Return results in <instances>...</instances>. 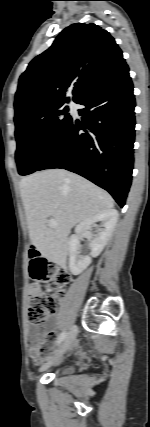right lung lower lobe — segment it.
I'll list each match as a JSON object with an SVG mask.
<instances>
[{"label":"right lung lower lobe","instance_id":"98d812e1","mask_svg":"<svg viewBox=\"0 0 150 427\" xmlns=\"http://www.w3.org/2000/svg\"><path fill=\"white\" fill-rule=\"evenodd\" d=\"M37 170L64 168L107 190L123 207L132 181L135 99L128 66L91 89ZM36 170V171H37Z\"/></svg>","mask_w":150,"mask_h":427}]
</instances>
